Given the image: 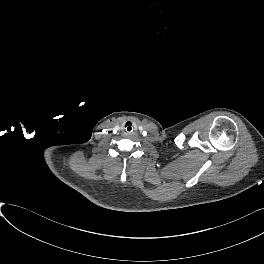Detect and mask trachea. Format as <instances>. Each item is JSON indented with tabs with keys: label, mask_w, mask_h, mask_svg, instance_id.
<instances>
[{
	"label": "trachea",
	"mask_w": 264,
	"mask_h": 264,
	"mask_svg": "<svg viewBox=\"0 0 264 264\" xmlns=\"http://www.w3.org/2000/svg\"><path fill=\"white\" fill-rule=\"evenodd\" d=\"M123 130L125 133H132L134 131V124L130 121L126 122L124 125H123Z\"/></svg>",
	"instance_id": "1"
}]
</instances>
